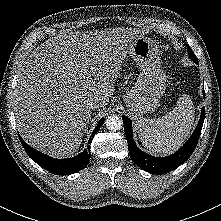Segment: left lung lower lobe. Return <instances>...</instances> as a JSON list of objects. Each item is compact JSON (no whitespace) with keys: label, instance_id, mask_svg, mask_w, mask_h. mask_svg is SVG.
<instances>
[{"label":"left lung lower lobe","instance_id":"1","mask_svg":"<svg viewBox=\"0 0 221 221\" xmlns=\"http://www.w3.org/2000/svg\"><path fill=\"white\" fill-rule=\"evenodd\" d=\"M203 95L205 98L204 89H203ZM204 118H205V107H202L201 117L198 122V125L194 130L191 138L187 141V143L173 155L161 158V157L151 156L143 152L136 146L133 139L131 120L125 115H123L122 119L124 123V130H125V135L131 159L137 166H139L141 169L149 173L165 174L174 170L175 168L180 166L183 162H185L193 153L202 130Z\"/></svg>","mask_w":221,"mask_h":221}]
</instances>
